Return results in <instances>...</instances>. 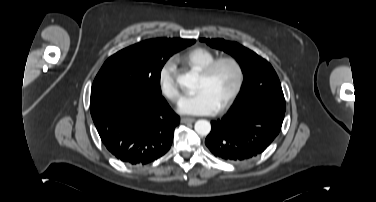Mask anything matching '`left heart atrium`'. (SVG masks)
<instances>
[{
    "instance_id": "obj_1",
    "label": "left heart atrium",
    "mask_w": 376,
    "mask_h": 202,
    "mask_svg": "<svg viewBox=\"0 0 376 202\" xmlns=\"http://www.w3.org/2000/svg\"><path fill=\"white\" fill-rule=\"evenodd\" d=\"M220 105L207 88L186 95L179 101L178 110L183 114L209 115L217 112Z\"/></svg>"
}]
</instances>
